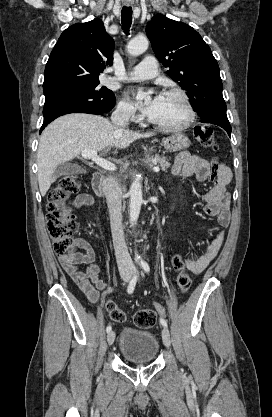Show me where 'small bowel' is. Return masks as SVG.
Listing matches in <instances>:
<instances>
[{"instance_id":"1","label":"small bowel","mask_w":272,"mask_h":417,"mask_svg":"<svg viewBox=\"0 0 272 417\" xmlns=\"http://www.w3.org/2000/svg\"><path fill=\"white\" fill-rule=\"evenodd\" d=\"M172 173L184 178L195 177L197 181L204 182L210 177L211 168L209 162L200 156L181 152L175 159ZM231 176L230 169L225 165H220L214 186L201 195L205 204V213L217 218L220 229L202 254L189 256L183 261L184 266L194 274H200L204 271L222 247L225 238L224 228L229 225L231 218L230 196L226 190L231 181ZM93 203L94 200L91 195L79 194L71 202L69 210L91 206ZM74 246L83 249L85 252L74 254L72 261L60 256L62 267L88 300L94 304H99L112 291V288L99 277L100 269L97 265V255L92 245L83 238H77L74 240ZM80 264L85 265V268H79L78 265ZM157 310L160 312V309Z\"/></svg>"}]
</instances>
